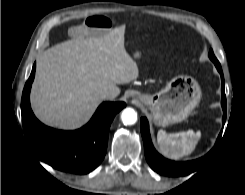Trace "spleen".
Returning <instances> with one entry per match:
<instances>
[{"instance_id": "3e777b00", "label": "spleen", "mask_w": 245, "mask_h": 195, "mask_svg": "<svg viewBox=\"0 0 245 195\" xmlns=\"http://www.w3.org/2000/svg\"><path fill=\"white\" fill-rule=\"evenodd\" d=\"M201 132L188 130L186 132L170 133L159 130L157 133V143L160 152L170 159H180L191 154L199 139Z\"/></svg>"}]
</instances>
